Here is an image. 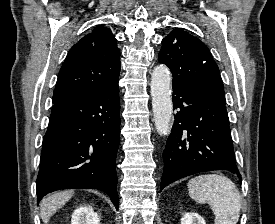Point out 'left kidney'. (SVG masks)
Instances as JSON below:
<instances>
[{"label": "left kidney", "instance_id": "5707ae66", "mask_svg": "<svg viewBox=\"0 0 275 224\" xmlns=\"http://www.w3.org/2000/svg\"><path fill=\"white\" fill-rule=\"evenodd\" d=\"M181 224H206L198 213H186L181 218Z\"/></svg>", "mask_w": 275, "mask_h": 224}]
</instances>
